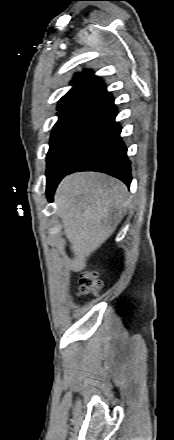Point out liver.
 <instances>
[{
    "mask_svg": "<svg viewBox=\"0 0 174 440\" xmlns=\"http://www.w3.org/2000/svg\"><path fill=\"white\" fill-rule=\"evenodd\" d=\"M54 200L74 254L75 272L83 270L90 255L114 233L130 204L124 183L97 172L66 176Z\"/></svg>",
    "mask_w": 174,
    "mask_h": 440,
    "instance_id": "1",
    "label": "liver"
}]
</instances>
